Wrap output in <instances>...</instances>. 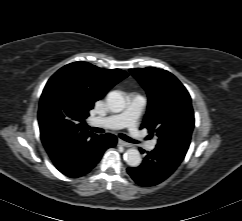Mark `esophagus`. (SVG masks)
Listing matches in <instances>:
<instances>
[{"instance_id": "34e87169", "label": "esophagus", "mask_w": 242, "mask_h": 221, "mask_svg": "<svg viewBox=\"0 0 242 221\" xmlns=\"http://www.w3.org/2000/svg\"><path fill=\"white\" fill-rule=\"evenodd\" d=\"M118 143H119L121 146H124V147H130V146H131L130 143L125 142V141H123V140H121V139L118 140Z\"/></svg>"}]
</instances>
